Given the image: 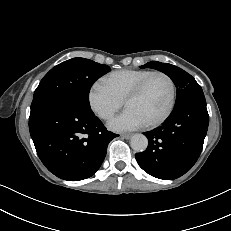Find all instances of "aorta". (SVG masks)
Wrapping results in <instances>:
<instances>
[{
  "label": "aorta",
  "mask_w": 231,
  "mask_h": 231,
  "mask_svg": "<svg viewBox=\"0 0 231 231\" xmlns=\"http://www.w3.org/2000/svg\"><path fill=\"white\" fill-rule=\"evenodd\" d=\"M130 146L136 152H143L148 146V139L143 134H134L131 137Z\"/></svg>",
  "instance_id": "762f6f07"
}]
</instances>
